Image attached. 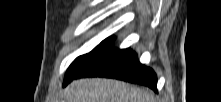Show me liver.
<instances>
[{"mask_svg": "<svg viewBox=\"0 0 221 102\" xmlns=\"http://www.w3.org/2000/svg\"><path fill=\"white\" fill-rule=\"evenodd\" d=\"M64 97L66 102H155L150 91L103 78L75 80L64 90Z\"/></svg>", "mask_w": 221, "mask_h": 102, "instance_id": "liver-1", "label": "liver"}]
</instances>
